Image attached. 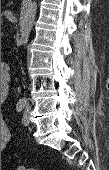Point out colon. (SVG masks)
<instances>
[{
  "label": "colon",
  "mask_w": 109,
  "mask_h": 170,
  "mask_svg": "<svg viewBox=\"0 0 109 170\" xmlns=\"http://www.w3.org/2000/svg\"><path fill=\"white\" fill-rule=\"evenodd\" d=\"M12 170H36V169H33V168H26L24 166H18V167H15L14 169Z\"/></svg>",
  "instance_id": "obj_1"
}]
</instances>
